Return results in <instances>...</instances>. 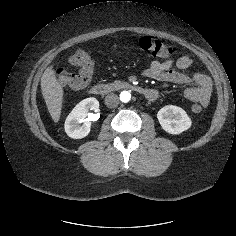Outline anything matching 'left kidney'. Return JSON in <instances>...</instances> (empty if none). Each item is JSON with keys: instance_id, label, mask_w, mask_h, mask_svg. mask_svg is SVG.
<instances>
[{"instance_id": "1", "label": "left kidney", "mask_w": 236, "mask_h": 236, "mask_svg": "<svg viewBox=\"0 0 236 236\" xmlns=\"http://www.w3.org/2000/svg\"><path fill=\"white\" fill-rule=\"evenodd\" d=\"M157 119L162 129L172 135H178L188 130L192 125V121L185 110L174 105L161 108L157 113Z\"/></svg>"}]
</instances>
